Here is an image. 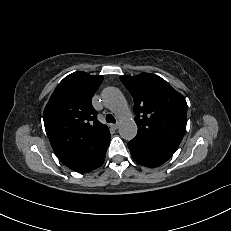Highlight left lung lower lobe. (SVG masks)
Wrapping results in <instances>:
<instances>
[{"label": "left lung lower lobe", "mask_w": 231, "mask_h": 231, "mask_svg": "<svg viewBox=\"0 0 231 231\" xmlns=\"http://www.w3.org/2000/svg\"><path fill=\"white\" fill-rule=\"evenodd\" d=\"M128 148L134 161L146 167H158L162 165L175 152L174 150L150 145L137 138L128 143Z\"/></svg>", "instance_id": "1"}]
</instances>
